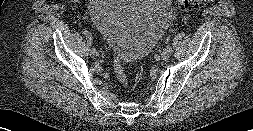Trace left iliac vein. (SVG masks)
<instances>
[{"label":"left iliac vein","mask_w":253,"mask_h":131,"mask_svg":"<svg viewBox=\"0 0 253 131\" xmlns=\"http://www.w3.org/2000/svg\"><path fill=\"white\" fill-rule=\"evenodd\" d=\"M171 54H172V49H171V51L170 52H167L166 51V48L161 52V58L163 59V60H167L170 56H171Z\"/></svg>","instance_id":"1"}]
</instances>
